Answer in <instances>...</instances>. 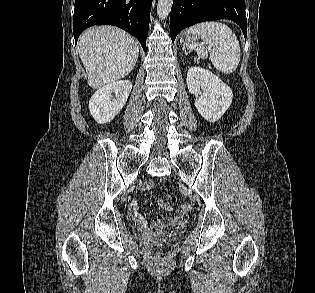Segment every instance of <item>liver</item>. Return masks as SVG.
<instances>
[{
    "mask_svg": "<svg viewBox=\"0 0 315 293\" xmlns=\"http://www.w3.org/2000/svg\"><path fill=\"white\" fill-rule=\"evenodd\" d=\"M78 52L93 89L116 82L134 68L139 46L135 38L113 26H96L84 31Z\"/></svg>",
    "mask_w": 315,
    "mask_h": 293,
    "instance_id": "liver-1",
    "label": "liver"
}]
</instances>
